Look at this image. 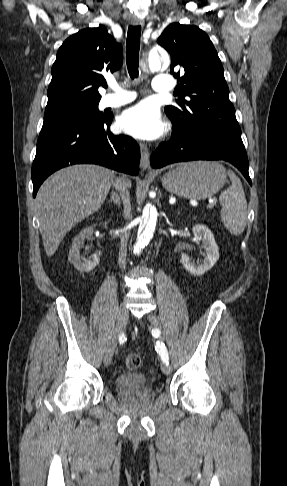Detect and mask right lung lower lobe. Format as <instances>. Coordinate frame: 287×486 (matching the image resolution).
<instances>
[{"label": "right lung lower lobe", "mask_w": 287, "mask_h": 486, "mask_svg": "<svg viewBox=\"0 0 287 486\" xmlns=\"http://www.w3.org/2000/svg\"><path fill=\"white\" fill-rule=\"evenodd\" d=\"M113 115L81 125L41 131L32 165L33 197L42 182L56 170L79 163L99 164L137 175L140 150L129 136L109 131Z\"/></svg>", "instance_id": "right-lung-lower-lobe-1"}]
</instances>
